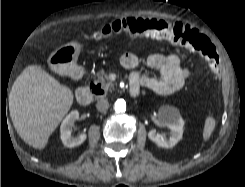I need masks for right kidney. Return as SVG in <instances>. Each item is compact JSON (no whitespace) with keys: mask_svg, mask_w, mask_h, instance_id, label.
<instances>
[{"mask_svg":"<svg viewBox=\"0 0 245 187\" xmlns=\"http://www.w3.org/2000/svg\"><path fill=\"white\" fill-rule=\"evenodd\" d=\"M78 119L79 112L77 110H74L66 116V118L63 120L61 124V140L64 146L68 148H73L81 145L87 138V135L85 133H81L75 137L72 135V127L74 125V122Z\"/></svg>","mask_w":245,"mask_h":187,"instance_id":"right-kidney-1","label":"right kidney"}]
</instances>
